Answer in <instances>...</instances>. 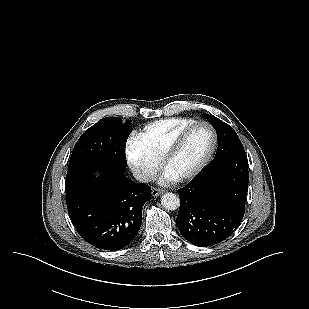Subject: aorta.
<instances>
[{
  "instance_id": "obj_1",
  "label": "aorta",
  "mask_w": 309,
  "mask_h": 309,
  "mask_svg": "<svg viewBox=\"0 0 309 309\" xmlns=\"http://www.w3.org/2000/svg\"><path fill=\"white\" fill-rule=\"evenodd\" d=\"M161 204L168 210H176L180 206V199L174 193H165L161 197Z\"/></svg>"
}]
</instances>
